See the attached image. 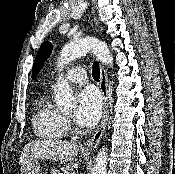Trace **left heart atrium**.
<instances>
[{"label":"left heart atrium","instance_id":"obj_1","mask_svg":"<svg viewBox=\"0 0 175 174\" xmlns=\"http://www.w3.org/2000/svg\"><path fill=\"white\" fill-rule=\"evenodd\" d=\"M102 114V98L94 87L84 88L78 95L75 113L77 123L82 127L94 126Z\"/></svg>","mask_w":175,"mask_h":174}]
</instances>
